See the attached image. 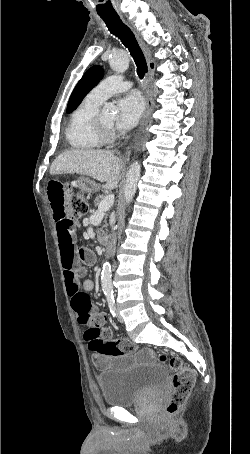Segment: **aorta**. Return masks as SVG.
Listing matches in <instances>:
<instances>
[{
	"label": "aorta",
	"instance_id": "aorta-1",
	"mask_svg": "<svg viewBox=\"0 0 250 454\" xmlns=\"http://www.w3.org/2000/svg\"><path fill=\"white\" fill-rule=\"evenodd\" d=\"M129 55L125 50H117L113 53L109 63L110 67L117 73H124L129 67ZM106 110H114L115 107L112 104H105ZM141 173V165L138 162H134L130 165L127 174L126 182L124 185V198L127 204H129L137 189V183ZM101 286L104 295L107 300H113V285L111 281V265L109 262L103 264L101 273Z\"/></svg>",
	"mask_w": 250,
	"mask_h": 454
}]
</instances>
